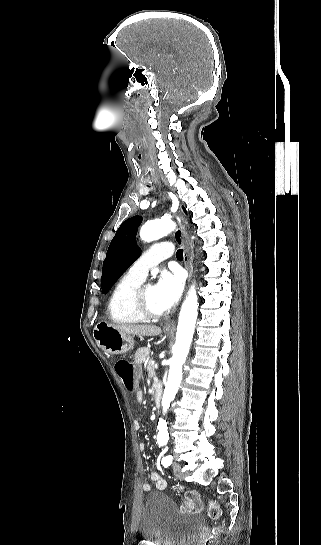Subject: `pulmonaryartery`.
Returning a JSON list of instances; mask_svg holds the SVG:
<instances>
[{"mask_svg":"<svg viewBox=\"0 0 321 545\" xmlns=\"http://www.w3.org/2000/svg\"><path fill=\"white\" fill-rule=\"evenodd\" d=\"M170 244L166 241H157L155 244L156 250L144 252L128 269V273L137 279L144 280L150 268L161 261H166L169 254Z\"/></svg>","mask_w":321,"mask_h":545,"instance_id":"obj_1","label":"pulmonary artery"}]
</instances>
